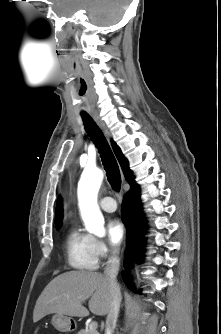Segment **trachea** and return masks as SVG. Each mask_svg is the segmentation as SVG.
Segmentation results:
<instances>
[{"mask_svg":"<svg viewBox=\"0 0 221 334\" xmlns=\"http://www.w3.org/2000/svg\"><path fill=\"white\" fill-rule=\"evenodd\" d=\"M82 118L86 132L98 148L108 181L112 188L118 191L121 187V177L119 167L113 152L102 131L97 126L92 117L89 115H82Z\"/></svg>","mask_w":221,"mask_h":334,"instance_id":"3493384b","label":"trachea"}]
</instances>
